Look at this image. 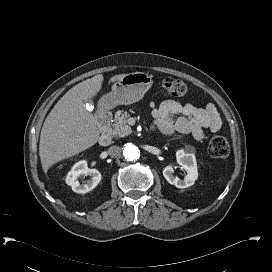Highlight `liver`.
I'll list each match as a JSON object with an SVG mask.
<instances>
[{"label":"liver","mask_w":272,"mask_h":272,"mask_svg":"<svg viewBox=\"0 0 272 272\" xmlns=\"http://www.w3.org/2000/svg\"><path fill=\"white\" fill-rule=\"evenodd\" d=\"M127 74L110 78L111 82ZM102 74L95 75L71 88L56 103L42 126L39 155L44 172L54 164L95 145L100 132L95 117L85 108L86 102L102 88Z\"/></svg>","instance_id":"6515ba94"}]
</instances>
